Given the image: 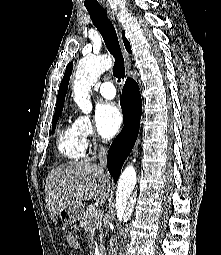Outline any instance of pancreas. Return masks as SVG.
Returning a JSON list of instances; mask_svg holds the SVG:
<instances>
[{
    "label": "pancreas",
    "instance_id": "pancreas-1",
    "mask_svg": "<svg viewBox=\"0 0 221 255\" xmlns=\"http://www.w3.org/2000/svg\"><path fill=\"white\" fill-rule=\"evenodd\" d=\"M80 226L91 233L95 231V228L101 231V213L94 205H89L84 210L80 220Z\"/></svg>",
    "mask_w": 221,
    "mask_h": 255
}]
</instances>
